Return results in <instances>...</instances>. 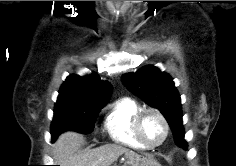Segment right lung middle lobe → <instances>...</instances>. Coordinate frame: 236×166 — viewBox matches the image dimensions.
<instances>
[{"mask_svg": "<svg viewBox=\"0 0 236 166\" xmlns=\"http://www.w3.org/2000/svg\"><path fill=\"white\" fill-rule=\"evenodd\" d=\"M104 106L61 102L55 104L51 124L52 139L67 130L89 134L94 130L95 119Z\"/></svg>", "mask_w": 236, "mask_h": 166, "instance_id": "dd1d6c3e", "label": "right lung middle lobe"}]
</instances>
